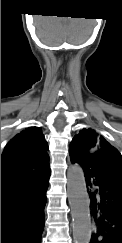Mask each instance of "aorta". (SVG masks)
I'll use <instances>...</instances> for the list:
<instances>
[{
	"mask_svg": "<svg viewBox=\"0 0 122 243\" xmlns=\"http://www.w3.org/2000/svg\"><path fill=\"white\" fill-rule=\"evenodd\" d=\"M67 192L73 219L74 243H90L91 221L89 198L81 167L71 166L68 169Z\"/></svg>",
	"mask_w": 122,
	"mask_h": 243,
	"instance_id": "1",
	"label": "aorta"
}]
</instances>
